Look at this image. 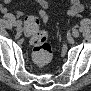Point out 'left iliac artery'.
I'll use <instances>...</instances> for the list:
<instances>
[{
	"instance_id": "obj_1",
	"label": "left iliac artery",
	"mask_w": 91,
	"mask_h": 91,
	"mask_svg": "<svg viewBox=\"0 0 91 91\" xmlns=\"http://www.w3.org/2000/svg\"><path fill=\"white\" fill-rule=\"evenodd\" d=\"M78 28H79V25L78 24H75V25L72 26V29L73 30H77Z\"/></svg>"
}]
</instances>
